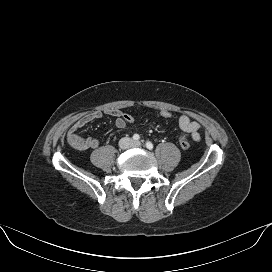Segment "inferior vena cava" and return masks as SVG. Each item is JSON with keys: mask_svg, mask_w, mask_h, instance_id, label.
Segmentation results:
<instances>
[{"mask_svg": "<svg viewBox=\"0 0 272 272\" xmlns=\"http://www.w3.org/2000/svg\"><path fill=\"white\" fill-rule=\"evenodd\" d=\"M131 143H132V139L129 138V137H124L122 139H120L119 141V146L122 148V149H127V148H130L131 147Z\"/></svg>", "mask_w": 272, "mask_h": 272, "instance_id": "obj_1", "label": "inferior vena cava"}]
</instances>
